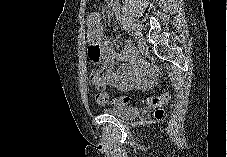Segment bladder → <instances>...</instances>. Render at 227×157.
<instances>
[{
    "instance_id": "obj_1",
    "label": "bladder",
    "mask_w": 227,
    "mask_h": 157,
    "mask_svg": "<svg viewBox=\"0 0 227 157\" xmlns=\"http://www.w3.org/2000/svg\"><path fill=\"white\" fill-rule=\"evenodd\" d=\"M104 113L113 115L123 120L134 119L140 114V110L133 106H118L104 110Z\"/></svg>"
}]
</instances>
